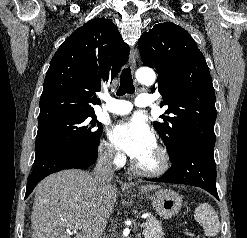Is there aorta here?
<instances>
[{"label": "aorta", "instance_id": "obj_1", "mask_svg": "<svg viewBox=\"0 0 247 238\" xmlns=\"http://www.w3.org/2000/svg\"><path fill=\"white\" fill-rule=\"evenodd\" d=\"M137 80L144 85H152L155 82L156 76L153 70L141 68L136 72Z\"/></svg>", "mask_w": 247, "mask_h": 238}]
</instances>
